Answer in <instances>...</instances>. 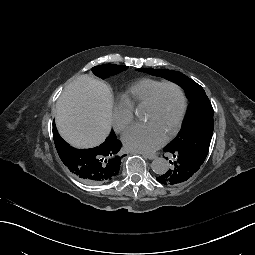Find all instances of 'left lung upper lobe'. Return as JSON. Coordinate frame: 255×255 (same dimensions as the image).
<instances>
[{"label": "left lung upper lobe", "instance_id": "1", "mask_svg": "<svg viewBox=\"0 0 255 255\" xmlns=\"http://www.w3.org/2000/svg\"><path fill=\"white\" fill-rule=\"evenodd\" d=\"M138 71L163 77L178 84L184 89L191 103L189 105L184 127L177 133L176 138L170 141L169 146L173 150H184L194 154V163L199 165L200 168V166L204 165L206 162V156L209 151L214 128V111L204 89L181 72L150 68H142L138 69ZM165 150L164 147L163 151ZM171 156L172 155L169 157Z\"/></svg>", "mask_w": 255, "mask_h": 255}]
</instances>
